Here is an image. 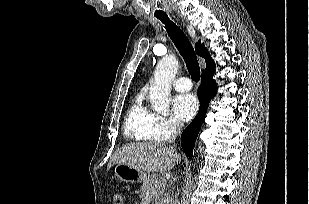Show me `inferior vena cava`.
Instances as JSON below:
<instances>
[{"label": "inferior vena cava", "instance_id": "obj_1", "mask_svg": "<svg viewBox=\"0 0 309 204\" xmlns=\"http://www.w3.org/2000/svg\"><path fill=\"white\" fill-rule=\"evenodd\" d=\"M182 123L180 122H176L174 125V130H173V136L172 138L169 140V143H173L176 139V137L180 134L181 130H182ZM170 204H176L174 201H170Z\"/></svg>", "mask_w": 309, "mask_h": 204}]
</instances>
